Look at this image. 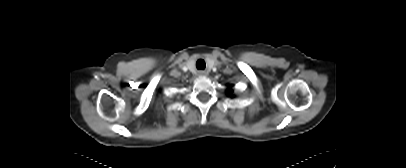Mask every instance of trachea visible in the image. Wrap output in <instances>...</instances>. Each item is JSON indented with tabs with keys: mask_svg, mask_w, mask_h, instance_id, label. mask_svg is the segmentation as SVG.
I'll use <instances>...</instances> for the list:
<instances>
[{
	"mask_svg": "<svg viewBox=\"0 0 406 168\" xmlns=\"http://www.w3.org/2000/svg\"><path fill=\"white\" fill-rule=\"evenodd\" d=\"M196 67H197V69H204V68H205V62H204V60L199 59V60L196 62Z\"/></svg>",
	"mask_w": 406,
	"mask_h": 168,
	"instance_id": "obj_1",
	"label": "trachea"
}]
</instances>
